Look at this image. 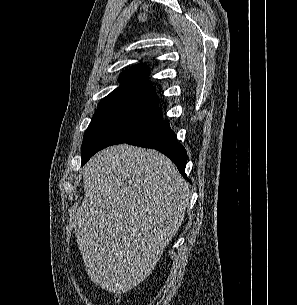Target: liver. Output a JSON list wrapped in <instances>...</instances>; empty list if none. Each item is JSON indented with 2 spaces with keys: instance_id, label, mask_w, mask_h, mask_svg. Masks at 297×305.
<instances>
[{
  "instance_id": "1",
  "label": "liver",
  "mask_w": 297,
  "mask_h": 305,
  "mask_svg": "<svg viewBox=\"0 0 297 305\" xmlns=\"http://www.w3.org/2000/svg\"><path fill=\"white\" fill-rule=\"evenodd\" d=\"M83 183L74 232L87 274L110 293L128 292L150 275L180 228L188 184L165 155L126 144L96 153Z\"/></svg>"
}]
</instances>
